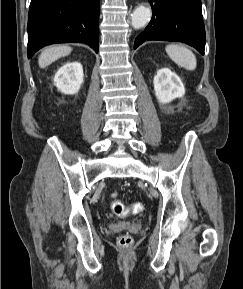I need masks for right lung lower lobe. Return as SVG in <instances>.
<instances>
[{
    "label": "right lung lower lobe",
    "instance_id": "1",
    "mask_svg": "<svg viewBox=\"0 0 243 289\" xmlns=\"http://www.w3.org/2000/svg\"><path fill=\"white\" fill-rule=\"evenodd\" d=\"M99 11V0H31L28 58L53 43H85L98 53Z\"/></svg>",
    "mask_w": 243,
    "mask_h": 289
}]
</instances>
